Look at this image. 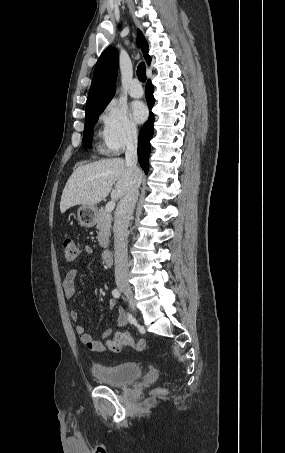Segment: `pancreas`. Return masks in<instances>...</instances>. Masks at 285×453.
<instances>
[{
    "label": "pancreas",
    "mask_w": 285,
    "mask_h": 453,
    "mask_svg": "<svg viewBox=\"0 0 285 453\" xmlns=\"http://www.w3.org/2000/svg\"><path fill=\"white\" fill-rule=\"evenodd\" d=\"M112 216L104 209H100L96 215V228L99 229L98 241L101 247L107 248L111 236Z\"/></svg>",
    "instance_id": "cf45deb5"
}]
</instances>
